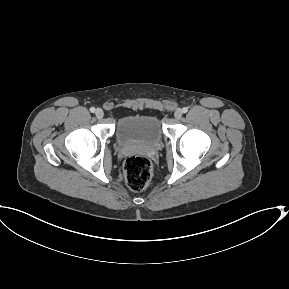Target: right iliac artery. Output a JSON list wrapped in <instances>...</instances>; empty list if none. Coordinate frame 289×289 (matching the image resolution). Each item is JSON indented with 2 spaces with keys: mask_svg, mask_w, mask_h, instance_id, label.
Listing matches in <instances>:
<instances>
[{
  "mask_svg": "<svg viewBox=\"0 0 289 289\" xmlns=\"http://www.w3.org/2000/svg\"><path fill=\"white\" fill-rule=\"evenodd\" d=\"M90 112L94 113V112H95V108H94V107H91V108H90Z\"/></svg>",
  "mask_w": 289,
  "mask_h": 289,
  "instance_id": "82829eb1",
  "label": "right iliac artery"
}]
</instances>
